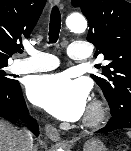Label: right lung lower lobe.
<instances>
[{"label": "right lung lower lobe", "instance_id": "98d812e1", "mask_svg": "<svg viewBox=\"0 0 131 151\" xmlns=\"http://www.w3.org/2000/svg\"><path fill=\"white\" fill-rule=\"evenodd\" d=\"M0 117L8 120L22 119L34 135H39V126L36 120L29 116L18 81L0 85Z\"/></svg>", "mask_w": 131, "mask_h": 151}]
</instances>
